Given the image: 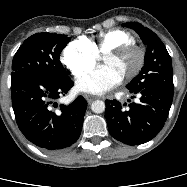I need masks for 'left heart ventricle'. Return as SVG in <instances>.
<instances>
[{
  "label": "left heart ventricle",
  "instance_id": "left-heart-ventricle-1",
  "mask_svg": "<svg viewBox=\"0 0 187 187\" xmlns=\"http://www.w3.org/2000/svg\"><path fill=\"white\" fill-rule=\"evenodd\" d=\"M138 60V54L134 51L128 52L119 57L104 56L105 66L114 68L122 77L134 69Z\"/></svg>",
  "mask_w": 187,
  "mask_h": 187
}]
</instances>
